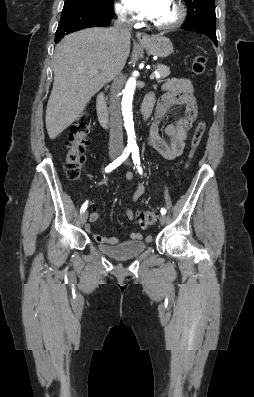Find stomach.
I'll return each mask as SVG.
<instances>
[{"mask_svg": "<svg viewBox=\"0 0 254 397\" xmlns=\"http://www.w3.org/2000/svg\"><path fill=\"white\" fill-rule=\"evenodd\" d=\"M141 47L154 56L166 58L173 52V45L169 38L165 36H151L149 41L141 43Z\"/></svg>", "mask_w": 254, "mask_h": 397, "instance_id": "stomach-1", "label": "stomach"}]
</instances>
